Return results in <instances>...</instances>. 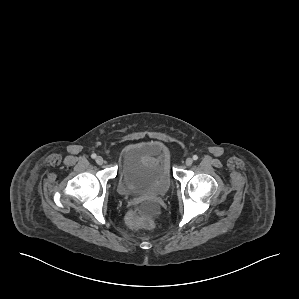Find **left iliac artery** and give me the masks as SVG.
<instances>
[{
	"label": "left iliac artery",
	"instance_id": "44dca946",
	"mask_svg": "<svg viewBox=\"0 0 299 299\" xmlns=\"http://www.w3.org/2000/svg\"><path fill=\"white\" fill-rule=\"evenodd\" d=\"M198 156L197 155H193V160H197Z\"/></svg>",
	"mask_w": 299,
	"mask_h": 299
}]
</instances>
